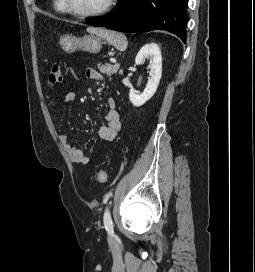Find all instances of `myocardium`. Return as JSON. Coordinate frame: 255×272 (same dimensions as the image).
<instances>
[{"label":"myocardium","mask_w":255,"mask_h":272,"mask_svg":"<svg viewBox=\"0 0 255 272\" xmlns=\"http://www.w3.org/2000/svg\"><path fill=\"white\" fill-rule=\"evenodd\" d=\"M114 1L115 0H106L105 4L101 8L92 12H85V13L75 11L71 7L69 0H62V3L67 13L71 14L74 17L84 19V18H93V17L104 15L112 8Z\"/></svg>","instance_id":"obj_1"}]
</instances>
